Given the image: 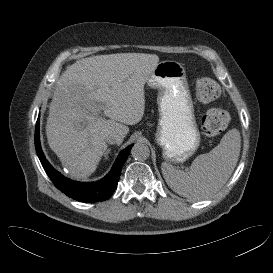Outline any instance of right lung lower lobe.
<instances>
[{
	"label": "right lung lower lobe",
	"instance_id": "1",
	"mask_svg": "<svg viewBox=\"0 0 273 273\" xmlns=\"http://www.w3.org/2000/svg\"><path fill=\"white\" fill-rule=\"evenodd\" d=\"M132 146L133 145L128 146L119 154L112 170L103 179L91 183L72 181L57 172L46 160L39 139V119L36 123L35 148L44 170L60 191L70 198L81 202L104 201L112 195L119 181L121 168L126 161Z\"/></svg>",
	"mask_w": 273,
	"mask_h": 273
}]
</instances>
